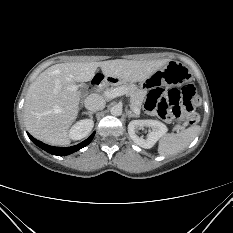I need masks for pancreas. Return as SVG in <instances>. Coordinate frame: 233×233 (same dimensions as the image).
Instances as JSON below:
<instances>
[{
  "instance_id": "cf45deb5",
  "label": "pancreas",
  "mask_w": 233,
  "mask_h": 233,
  "mask_svg": "<svg viewBox=\"0 0 233 233\" xmlns=\"http://www.w3.org/2000/svg\"><path fill=\"white\" fill-rule=\"evenodd\" d=\"M117 87H123L126 90L127 95L130 96L131 98V105L133 107L138 108L139 110L141 109V106H142V103L145 97V92L143 90H139L138 88L130 84H127V83H119L117 84ZM110 89H114V88L113 87L108 88V90ZM183 128L184 127L181 125L176 126V129L178 130L183 129Z\"/></svg>"
}]
</instances>
